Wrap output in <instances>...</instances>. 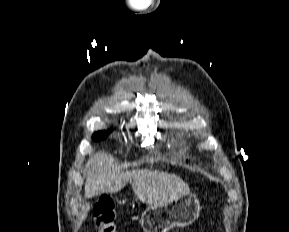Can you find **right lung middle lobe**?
Returning a JSON list of instances; mask_svg holds the SVG:
<instances>
[{
	"label": "right lung middle lobe",
	"instance_id": "1",
	"mask_svg": "<svg viewBox=\"0 0 289 232\" xmlns=\"http://www.w3.org/2000/svg\"><path fill=\"white\" fill-rule=\"evenodd\" d=\"M108 136V133L105 131H99L97 133H94V135L92 136V139L94 141H99V140H103Z\"/></svg>",
	"mask_w": 289,
	"mask_h": 232
}]
</instances>
